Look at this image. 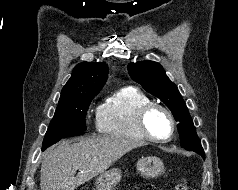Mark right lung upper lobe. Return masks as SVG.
Masks as SVG:
<instances>
[{"label": "right lung upper lobe", "instance_id": "obj_1", "mask_svg": "<svg viewBox=\"0 0 238 190\" xmlns=\"http://www.w3.org/2000/svg\"><path fill=\"white\" fill-rule=\"evenodd\" d=\"M108 75V66L101 62H82L75 66L71 78L61 91L59 102L82 94H98Z\"/></svg>", "mask_w": 238, "mask_h": 190}]
</instances>
